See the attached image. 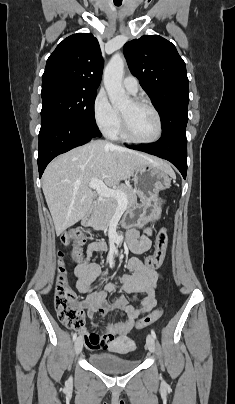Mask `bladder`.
Returning <instances> with one entry per match:
<instances>
[{"mask_svg": "<svg viewBox=\"0 0 235 404\" xmlns=\"http://www.w3.org/2000/svg\"><path fill=\"white\" fill-rule=\"evenodd\" d=\"M132 346L124 345L115 347V349L123 352L132 350ZM89 363L98 370L109 373H123L132 371L138 364L139 360L130 359L120 356L119 354L100 351L88 355Z\"/></svg>", "mask_w": 235, "mask_h": 404, "instance_id": "obj_1", "label": "bladder"}]
</instances>
